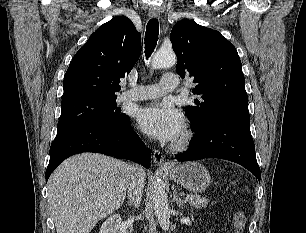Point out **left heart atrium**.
Listing matches in <instances>:
<instances>
[{"label":"left heart atrium","mask_w":306,"mask_h":233,"mask_svg":"<svg viewBox=\"0 0 306 233\" xmlns=\"http://www.w3.org/2000/svg\"><path fill=\"white\" fill-rule=\"evenodd\" d=\"M137 121L142 131L162 141L178 139L184 127L181 113L170 102H158L141 109Z\"/></svg>","instance_id":"obj_1"}]
</instances>
